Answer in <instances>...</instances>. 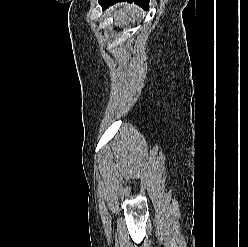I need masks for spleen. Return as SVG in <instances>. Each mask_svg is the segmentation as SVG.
I'll list each match as a JSON object with an SVG mask.
<instances>
[{"label":"spleen","instance_id":"1","mask_svg":"<svg viewBox=\"0 0 248 247\" xmlns=\"http://www.w3.org/2000/svg\"><path fill=\"white\" fill-rule=\"evenodd\" d=\"M139 12L138 8L133 5H121L118 11V16H115V24H121L125 21L135 23V14Z\"/></svg>","mask_w":248,"mask_h":247}]
</instances>
